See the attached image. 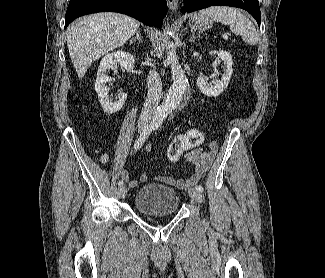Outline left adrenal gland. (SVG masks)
Wrapping results in <instances>:
<instances>
[{
    "label": "left adrenal gland",
    "mask_w": 325,
    "mask_h": 278,
    "mask_svg": "<svg viewBox=\"0 0 325 278\" xmlns=\"http://www.w3.org/2000/svg\"><path fill=\"white\" fill-rule=\"evenodd\" d=\"M191 33H192V35H191V37L189 38V41H190V42L194 41L196 38H200V35L196 36V35H195V32H194L193 30H191Z\"/></svg>",
    "instance_id": "1"
}]
</instances>
